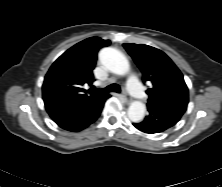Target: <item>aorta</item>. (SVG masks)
Returning <instances> with one entry per match:
<instances>
[{"label": "aorta", "instance_id": "762f6f07", "mask_svg": "<svg viewBox=\"0 0 222 187\" xmlns=\"http://www.w3.org/2000/svg\"><path fill=\"white\" fill-rule=\"evenodd\" d=\"M99 61L109 71L117 75H125L130 70V65L125 55L112 47L103 48L99 52ZM146 107L141 101H133L128 108V117L132 122H141L145 117Z\"/></svg>", "mask_w": 222, "mask_h": 187}]
</instances>
